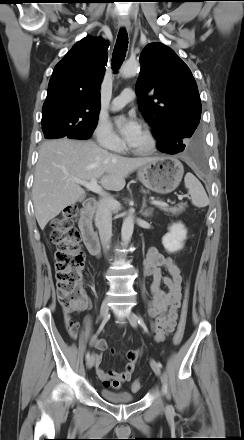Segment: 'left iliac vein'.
Listing matches in <instances>:
<instances>
[{
    "instance_id": "left-iliac-vein-1",
    "label": "left iliac vein",
    "mask_w": 244,
    "mask_h": 440,
    "mask_svg": "<svg viewBox=\"0 0 244 440\" xmlns=\"http://www.w3.org/2000/svg\"><path fill=\"white\" fill-rule=\"evenodd\" d=\"M128 320H129L130 324L132 325V327H134V328L137 327L138 317H137V315L133 311H130L128 313ZM150 365H151V368L154 371V373L157 376H160L161 375V370L158 367L157 363L154 360H151L150 361Z\"/></svg>"
}]
</instances>
